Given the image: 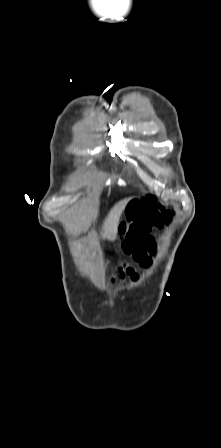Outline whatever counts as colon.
Wrapping results in <instances>:
<instances>
[{
	"label": "colon",
	"mask_w": 221,
	"mask_h": 448,
	"mask_svg": "<svg viewBox=\"0 0 221 448\" xmlns=\"http://www.w3.org/2000/svg\"><path fill=\"white\" fill-rule=\"evenodd\" d=\"M142 208L148 214L150 222L156 228H162L164 220L167 219L169 213L151 196L146 197L142 203ZM138 206H133L129 210L128 218L132 219L136 226L143 232L149 228V222L141 217L137 216ZM126 229L125 234H130V228H127L125 222L120 225L119 231L122 232ZM140 249L135 253V259L142 262L143 265L149 264V258L154 252L152 239L146 233H143L140 237Z\"/></svg>",
	"instance_id": "obj_1"
}]
</instances>
